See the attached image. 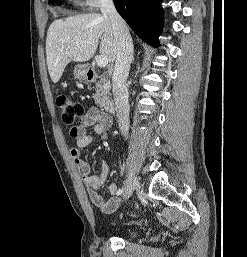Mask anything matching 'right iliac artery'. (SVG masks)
<instances>
[{"instance_id": "1", "label": "right iliac artery", "mask_w": 247, "mask_h": 257, "mask_svg": "<svg viewBox=\"0 0 247 257\" xmlns=\"http://www.w3.org/2000/svg\"><path fill=\"white\" fill-rule=\"evenodd\" d=\"M125 187H122L121 189L118 190V195L122 194V192L124 191Z\"/></svg>"}]
</instances>
